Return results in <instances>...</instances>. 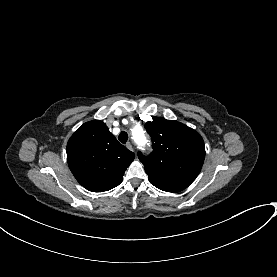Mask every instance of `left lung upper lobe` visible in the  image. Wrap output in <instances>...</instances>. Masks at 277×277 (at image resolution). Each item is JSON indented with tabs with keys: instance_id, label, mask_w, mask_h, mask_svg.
Returning <instances> with one entry per match:
<instances>
[{
	"instance_id": "5c2ea615",
	"label": "left lung upper lobe",
	"mask_w": 277,
	"mask_h": 277,
	"mask_svg": "<svg viewBox=\"0 0 277 277\" xmlns=\"http://www.w3.org/2000/svg\"><path fill=\"white\" fill-rule=\"evenodd\" d=\"M152 138L153 152L138 153L150 183L160 190L180 192L199 174L205 147L201 135L178 121L155 118L145 124Z\"/></svg>"
}]
</instances>
